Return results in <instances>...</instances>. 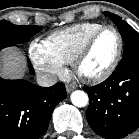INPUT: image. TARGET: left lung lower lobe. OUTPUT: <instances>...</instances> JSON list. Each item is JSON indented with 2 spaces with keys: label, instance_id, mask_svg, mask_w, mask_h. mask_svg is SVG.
I'll return each instance as SVG.
<instances>
[{
  "label": "left lung lower lobe",
  "instance_id": "left-lung-lower-lobe-1",
  "mask_svg": "<svg viewBox=\"0 0 139 139\" xmlns=\"http://www.w3.org/2000/svg\"><path fill=\"white\" fill-rule=\"evenodd\" d=\"M89 95L87 121L100 136L120 139L139 126V47L124 53L103 83L84 88Z\"/></svg>",
  "mask_w": 139,
  "mask_h": 139
}]
</instances>
